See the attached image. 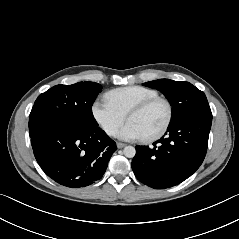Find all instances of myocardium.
<instances>
[{"label": "myocardium", "mask_w": 239, "mask_h": 239, "mask_svg": "<svg viewBox=\"0 0 239 239\" xmlns=\"http://www.w3.org/2000/svg\"><path fill=\"white\" fill-rule=\"evenodd\" d=\"M157 102H162L166 105L167 116H166L164 123L157 131H155L154 133H152L150 135L143 137V140H145V141H151V140H155V139L161 137L166 132V130L169 128V126L172 122V119H173V106H172V103L170 102V100L165 97H162V96H156V97L147 99V100L139 103L135 107H133L126 115L127 119H129L131 116L139 114V113L147 110L149 107H151L152 105H154Z\"/></svg>", "instance_id": "f54148a6"}]
</instances>
